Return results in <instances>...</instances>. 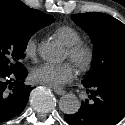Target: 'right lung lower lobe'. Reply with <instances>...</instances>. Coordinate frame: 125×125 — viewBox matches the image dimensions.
<instances>
[{
	"label": "right lung lower lobe",
	"mask_w": 125,
	"mask_h": 125,
	"mask_svg": "<svg viewBox=\"0 0 125 125\" xmlns=\"http://www.w3.org/2000/svg\"><path fill=\"white\" fill-rule=\"evenodd\" d=\"M27 71L22 66L16 70L0 67V122L19 115L25 108L32 88L23 80Z\"/></svg>",
	"instance_id": "right-lung-lower-lobe-1"
}]
</instances>
